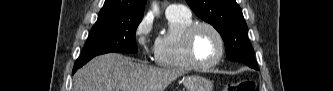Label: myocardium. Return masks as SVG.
Instances as JSON below:
<instances>
[{
	"label": "myocardium",
	"mask_w": 333,
	"mask_h": 91,
	"mask_svg": "<svg viewBox=\"0 0 333 91\" xmlns=\"http://www.w3.org/2000/svg\"><path fill=\"white\" fill-rule=\"evenodd\" d=\"M202 28H207L210 31H212L219 41V46H220L219 54L214 61L209 62V63L200 62L196 58V55L194 52V39H195L197 32ZM183 44H184L185 56H186V59L188 60V62L194 68L202 69V70H208V69L216 67L218 64L221 63V61L223 60V58L225 56V52H226V44H225L224 36L222 35L220 30L216 26H214L213 24L208 23V22H195L189 28H187V30L184 33Z\"/></svg>",
	"instance_id": "myocardium-1"
}]
</instances>
